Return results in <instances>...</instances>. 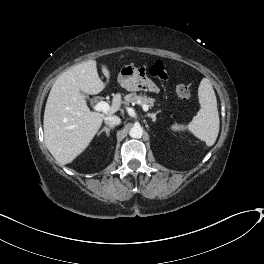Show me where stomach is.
I'll return each mask as SVG.
<instances>
[{
    "label": "stomach",
    "mask_w": 264,
    "mask_h": 264,
    "mask_svg": "<svg viewBox=\"0 0 264 264\" xmlns=\"http://www.w3.org/2000/svg\"><path fill=\"white\" fill-rule=\"evenodd\" d=\"M121 87L127 91L138 90L139 82L142 80V76L139 68L133 65H124L118 74L117 78Z\"/></svg>",
    "instance_id": "1"
}]
</instances>
